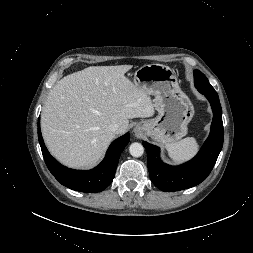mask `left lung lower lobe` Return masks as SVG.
Instances as JSON below:
<instances>
[{"label":"left lung lower lobe","instance_id":"1","mask_svg":"<svg viewBox=\"0 0 253 253\" xmlns=\"http://www.w3.org/2000/svg\"><path fill=\"white\" fill-rule=\"evenodd\" d=\"M199 92L209 100L213 120L208 139L192 160L179 166L167 165L159 157V147L143 142L150 179L162 191H180L200 184L211 172L222 149L224 132L219 97L217 93Z\"/></svg>","mask_w":253,"mask_h":253}]
</instances>
